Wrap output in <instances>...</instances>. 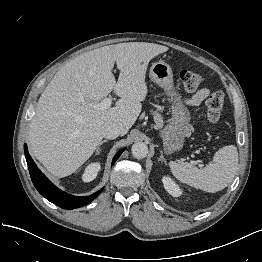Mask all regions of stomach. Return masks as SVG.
Masks as SVG:
<instances>
[{"label":"stomach","instance_id":"obj_1","mask_svg":"<svg viewBox=\"0 0 262 262\" xmlns=\"http://www.w3.org/2000/svg\"><path fill=\"white\" fill-rule=\"evenodd\" d=\"M150 79L164 89L170 97L171 119L161 129L160 136L167 153L178 151L183 147L185 137L190 131V112L183 104L180 94L175 91L173 83V72L169 64L164 61L155 62L150 67Z\"/></svg>","mask_w":262,"mask_h":262}]
</instances>
